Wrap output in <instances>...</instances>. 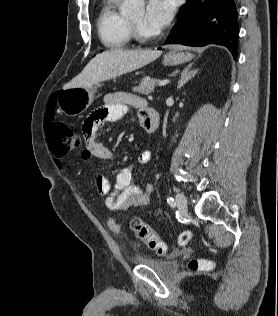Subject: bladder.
Returning <instances> with one entry per match:
<instances>
[{
    "mask_svg": "<svg viewBox=\"0 0 278 316\" xmlns=\"http://www.w3.org/2000/svg\"><path fill=\"white\" fill-rule=\"evenodd\" d=\"M135 263L147 267L162 276L171 275L175 269V262L170 259L137 258Z\"/></svg>",
    "mask_w": 278,
    "mask_h": 316,
    "instance_id": "bladder-1",
    "label": "bladder"
}]
</instances>
